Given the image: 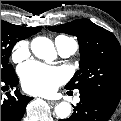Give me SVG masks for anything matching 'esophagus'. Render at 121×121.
<instances>
[{"mask_svg": "<svg viewBox=\"0 0 121 121\" xmlns=\"http://www.w3.org/2000/svg\"><path fill=\"white\" fill-rule=\"evenodd\" d=\"M48 103H49L50 105H54V104H56V101H48Z\"/></svg>", "mask_w": 121, "mask_h": 121, "instance_id": "esophagus-1", "label": "esophagus"}]
</instances>
